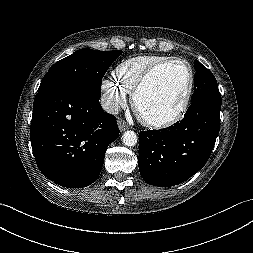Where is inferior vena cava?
Wrapping results in <instances>:
<instances>
[{"mask_svg": "<svg viewBox=\"0 0 253 253\" xmlns=\"http://www.w3.org/2000/svg\"><path fill=\"white\" fill-rule=\"evenodd\" d=\"M101 105H102V108L106 112L114 114V115H117L120 111V106H119L118 102L108 96L102 97Z\"/></svg>", "mask_w": 253, "mask_h": 253, "instance_id": "602c4592", "label": "inferior vena cava"}]
</instances>
